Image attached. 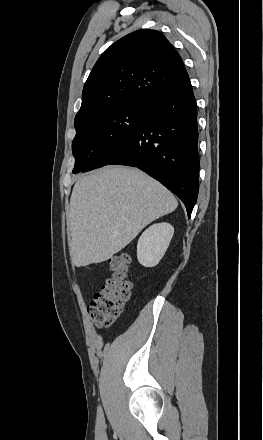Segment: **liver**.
Returning <instances> with one entry per match:
<instances>
[{"mask_svg": "<svg viewBox=\"0 0 263 440\" xmlns=\"http://www.w3.org/2000/svg\"><path fill=\"white\" fill-rule=\"evenodd\" d=\"M177 206L170 191L135 168L105 167L79 178L68 216L72 263L82 267L108 260Z\"/></svg>", "mask_w": 263, "mask_h": 440, "instance_id": "obj_1", "label": "liver"}]
</instances>
